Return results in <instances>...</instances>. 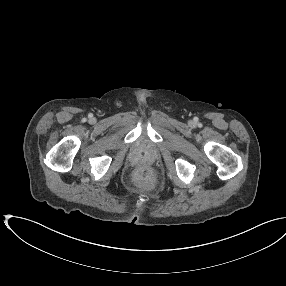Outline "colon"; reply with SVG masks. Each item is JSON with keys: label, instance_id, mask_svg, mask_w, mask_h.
<instances>
[{"label": "colon", "instance_id": "5ec220e1", "mask_svg": "<svg viewBox=\"0 0 286 286\" xmlns=\"http://www.w3.org/2000/svg\"><path fill=\"white\" fill-rule=\"evenodd\" d=\"M145 176H146V172L144 170H141L138 172L139 181L145 179Z\"/></svg>", "mask_w": 286, "mask_h": 286}]
</instances>
